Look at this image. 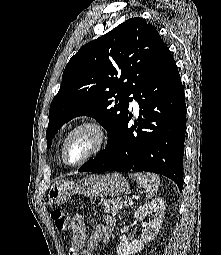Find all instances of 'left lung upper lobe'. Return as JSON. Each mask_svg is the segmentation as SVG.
I'll use <instances>...</instances> for the list:
<instances>
[{
  "label": "left lung upper lobe",
  "instance_id": "1",
  "mask_svg": "<svg viewBox=\"0 0 221 255\" xmlns=\"http://www.w3.org/2000/svg\"><path fill=\"white\" fill-rule=\"evenodd\" d=\"M166 50L157 30L142 18L128 19L80 48L50 105L48 148L65 123L82 115L95 118L109 138Z\"/></svg>",
  "mask_w": 221,
  "mask_h": 255
}]
</instances>
